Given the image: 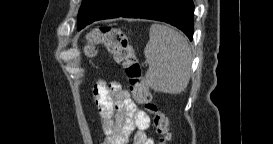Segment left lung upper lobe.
I'll return each mask as SVG.
<instances>
[{
  "label": "left lung upper lobe",
  "instance_id": "1",
  "mask_svg": "<svg viewBox=\"0 0 273 144\" xmlns=\"http://www.w3.org/2000/svg\"><path fill=\"white\" fill-rule=\"evenodd\" d=\"M92 1H94V0H83L82 1V6H81L80 9L85 8L86 6H88V7L92 6L93 5Z\"/></svg>",
  "mask_w": 273,
  "mask_h": 144
}]
</instances>
